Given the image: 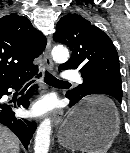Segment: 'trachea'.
Instances as JSON below:
<instances>
[{"label": "trachea", "instance_id": "1", "mask_svg": "<svg viewBox=\"0 0 130 153\" xmlns=\"http://www.w3.org/2000/svg\"><path fill=\"white\" fill-rule=\"evenodd\" d=\"M44 81H45L48 85L56 86V87L64 86V85H69V84H70L69 82L62 81V80H59V79L55 78L53 75H51V74L48 73V72H45ZM33 82H34V80L28 82V85L32 84Z\"/></svg>", "mask_w": 130, "mask_h": 153}]
</instances>
